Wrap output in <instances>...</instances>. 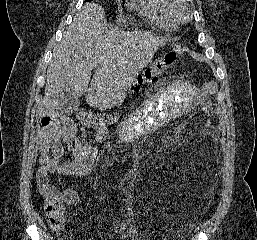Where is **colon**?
<instances>
[{
	"label": "colon",
	"mask_w": 257,
	"mask_h": 240,
	"mask_svg": "<svg viewBox=\"0 0 257 240\" xmlns=\"http://www.w3.org/2000/svg\"><path fill=\"white\" fill-rule=\"evenodd\" d=\"M177 55L174 52L166 53L161 58L157 59L150 65H148L137 77L135 82L132 84V91L139 90L142 86L154 82L158 76L167 68L175 63ZM205 95H212L216 92V85L213 82H208L203 87ZM84 117L90 120L92 123H97V119L89 113H84ZM52 122L50 118H45L42 121L44 127L51 126ZM43 205L48 218L51 223L58 225L63 215V207L61 199L54 194L42 195Z\"/></svg>",
	"instance_id": "5ec220e1"
}]
</instances>
